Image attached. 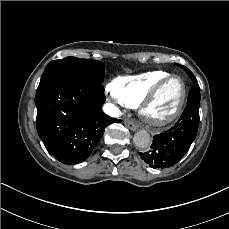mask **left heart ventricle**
<instances>
[{
  "mask_svg": "<svg viewBox=\"0 0 229 229\" xmlns=\"http://www.w3.org/2000/svg\"><path fill=\"white\" fill-rule=\"evenodd\" d=\"M185 94L183 82L173 80L166 85L155 100L150 104V113L158 120L172 116L181 105Z\"/></svg>",
  "mask_w": 229,
  "mask_h": 229,
  "instance_id": "b2bd125f",
  "label": "left heart ventricle"
}]
</instances>
